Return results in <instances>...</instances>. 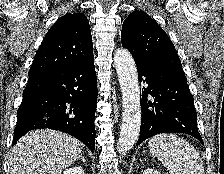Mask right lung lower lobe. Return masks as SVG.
Here are the masks:
<instances>
[{"label": "right lung lower lobe", "mask_w": 224, "mask_h": 174, "mask_svg": "<svg viewBox=\"0 0 224 174\" xmlns=\"http://www.w3.org/2000/svg\"><path fill=\"white\" fill-rule=\"evenodd\" d=\"M97 93L94 60L30 76L17 111L13 145L30 130L49 128L76 137L93 153Z\"/></svg>", "instance_id": "right-lung-lower-lobe-1"}]
</instances>
